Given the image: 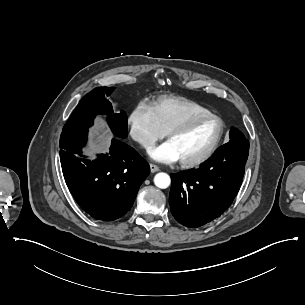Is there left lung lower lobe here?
I'll use <instances>...</instances> for the list:
<instances>
[{
	"instance_id": "obj_1",
	"label": "left lung lower lobe",
	"mask_w": 305,
	"mask_h": 305,
	"mask_svg": "<svg viewBox=\"0 0 305 305\" xmlns=\"http://www.w3.org/2000/svg\"><path fill=\"white\" fill-rule=\"evenodd\" d=\"M249 141L226 143L200 168L171 175L169 204L174 218L190 228L219 217L242 184Z\"/></svg>"
}]
</instances>
